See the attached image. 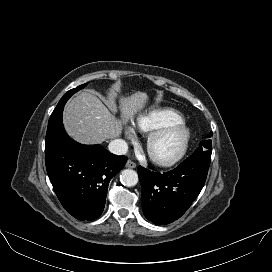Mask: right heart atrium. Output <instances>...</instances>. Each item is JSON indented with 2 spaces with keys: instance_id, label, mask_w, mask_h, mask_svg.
Wrapping results in <instances>:
<instances>
[{
  "instance_id": "obj_1",
  "label": "right heart atrium",
  "mask_w": 272,
  "mask_h": 272,
  "mask_svg": "<svg viewBox=\"0 0 272 272\" xmlns=\"http://www.w3.org/2000/svg\"><path fill=\"white\" fill-rule=\"evenodd\" d=\"M127 134H128L129 137H133V135H134L132 130H128Z\"/></svg>"
}]
</instances>
